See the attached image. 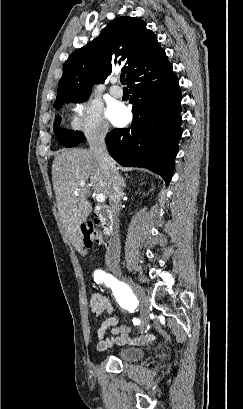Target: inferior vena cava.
Instances as JSON below:
<instances>
[{
  "label": "inferior vena cava",
  "mask_w": 243,
  "mask_h": 409,
  "mask_svg": "<svg viewBox=\"0 0 243 409\" xmlns=\"http://www.w3.org/2000/svg\"><path fill=\"white\" fill-rule=\"evenodd\" d=\"M107 130L104 129L95 133L89 139L90 153L100 162L103 171L106 174L109 186V205L111 214L114 219V232L109 242L107 261L112 267L117 268L120 261V239L119 229V212L121 198L123 196L121 177L116 166L110 157L105 142Z\"/></svg>",
  "instance_id": "1"
}]
</instances>
